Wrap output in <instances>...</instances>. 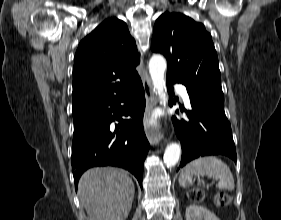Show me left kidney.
<instances>
[{
  "label": "left kidney",
  "instance_id": "1",
  "mask_svg": "<svg viewBox=\"0 0 281 220\" xmlns=\"http://www.w3.org/2000/svg\"><path fill=\"white\" fill-rule=\"evenodd\" d=\"M186 220H220L207 208L199 205H190L186 209Z\"/></svg>",
  "mask_w": 281,
  "mask_h": 220
}]
</instances>
